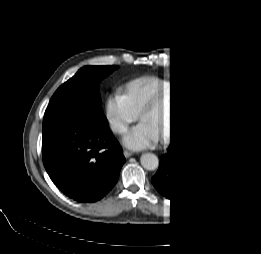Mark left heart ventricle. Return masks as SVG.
Returning <instances> with one entry per match:
<instances>
[{"mask_svg": "<svg viewBox=\"0 0 261 254\" xmlns=\"http://www.w3.org/2000/svg\"><path fill=\"white\" fill-rule=\"evenodd\" d=\"M175 99L172 101V106H175ZM178 118V117H177ZM179 119V118H178ZM177 119V120H178ZM143 123L151 132L157 133L158 136H162L167 132H171L175 126V116L170 109L168 113L163 108H157L147 113L142 119Z\"/></svg>", "mask_w": 261, "mask_h": 254, "instance_id": "left-heart-ventricle-1", "label": "left heart ventricle"}]
</instances>
